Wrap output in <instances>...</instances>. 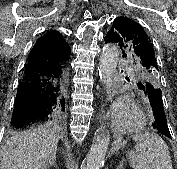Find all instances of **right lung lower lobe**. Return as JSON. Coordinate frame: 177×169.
I'll return each instance as SVG.
<instances>
[{"mask_svg": "<svg viewBox=\"0 0 177 169\" xmlns=\"http://www.w3.org/2000/svg\"><path fill=\"white\" fill-rule=\"evenodd\" d=\"M67 89V61L30 54L17 88L11 127H26L36 122L54 125L65 122Z\"/></svg>", "mask_w": 177, "mask_h": 169, "instance_id": "1", "label": "right lung lower lobe"}]
</instances>
